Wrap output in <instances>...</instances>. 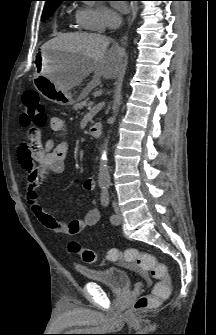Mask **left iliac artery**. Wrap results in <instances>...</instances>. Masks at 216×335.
<instances>
[{
  "instance_id": "44dca946",
  "label": "left iliac artery",
  "mask_w": 216,
  "mask_h": 335,
  "mask_svg": "<svg viewBox=\"0 0 216 335\" xmlns=\"http://www.w3.org/2000/svg\"><path fill=\"white\" fill-rule=\"evenodd\" d=\"M108 186H104L103 187V192L101 194V204L104 207H108L109 202H110V197H109V193H108ZM117 220V216L115 214H111L110 215V221L112 223H115V221Z\"/></svg>"
}]
</instances>
